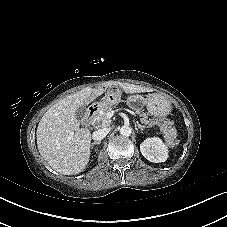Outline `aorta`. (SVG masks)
I'll use <instances>...</instances> for the list:
<instances>
[{"mask_svg":"<svg viewBox=\"0 0 227 227\" xmlns=\"http://www.w3.org/2000/svg\"><path fill=\"white\" fill-rule=\"evenodd\" d=\"M119 132H120L121 135L128 137V136L131 135L132 129H131V127L128 126V125H123V126L120 128Z\"/></svg>","mask_w":227,"mask_h":227,"instance_id":"762f6f07","label":"aorta"}]
</instances>
